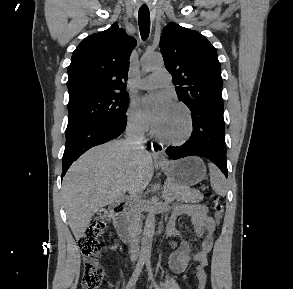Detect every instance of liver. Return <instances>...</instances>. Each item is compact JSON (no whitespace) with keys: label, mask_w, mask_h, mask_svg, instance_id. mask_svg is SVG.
I'll return each mask as SVG.
<instances>
[{"label":"liver","mask_w":293,"mask_h":289,"mask_svg":"<svg viewBox=\"0 0 293 289\" xmlns=\"http://www.w3.org/2000/svg\"><path fill=\"white\" fill-rule=\"evenodd\" d=\"M154 173L152 156L125 140H113L88 150L75 161L62 183L69 226L79 240L92 216L118 202L126 192L141 193Z\"/></svg>","instance_id":"liver-1"}]
</instances>
